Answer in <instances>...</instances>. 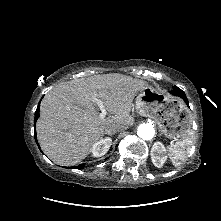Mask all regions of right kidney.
<instances>
[{"label": "right kidney", "mask_w": 221, "mask_h": 221, "mask_svg": "<svg viewBox=\"0 0 221 221\" xmlns=\"http://www.w3.org/2000/svg\"><path fill=\"white\" fill-rule=\"evenodd\" d=\"M112 140L110 138L101 139L92 145L90 152L94 157H101L107 153L111 146Z\"/></svg>", "instance_id": "1"}]
</instances>
